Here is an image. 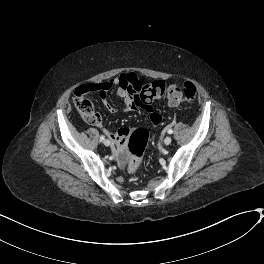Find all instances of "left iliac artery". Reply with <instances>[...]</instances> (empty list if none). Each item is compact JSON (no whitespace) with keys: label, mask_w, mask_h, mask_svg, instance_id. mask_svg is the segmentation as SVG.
Wrapping results in <instances>:
<instances>
[{"label":"left iliac artery","mask_w":264,"mask_h":264,"mask_svg":"<svg viewBox=\"0 0 264 264\" xmlns=\"http://www.w3.org/2000/svg\"><path fill=\"white\" fill-rule=\"evenodd\" d=\"M173 133V130L172 129H169L168 130V134H172Z\"/></svg>","instance_id":"obj_1"}]
</instances>
